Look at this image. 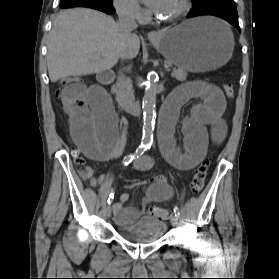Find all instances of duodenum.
I'll use <instances>...</instances> for the list:
<instances>
[{"mask_svg":"<svg viewBox=\"0 0 279 279\" xmlns=\"http://www.w3.org/2000/svg\"><path fill=\"white\" fill-rule=\"evenodd\" d=\"M98 78L101 82L106 83V82H112L113 80V74L105 71V72H101L98 75ZM119 105L121 107V109H123L124 111L135 115V116H140L142 114V107H141V102L140 100H131V101H127V100H121L119 102Z\"/></svg>","mask_w":279,"mask_h":279,"instance_id":"obj_1","label":"duodenum"}]
</instances>
